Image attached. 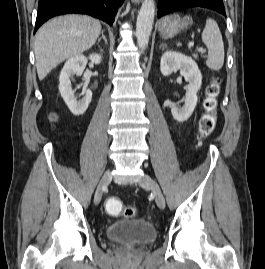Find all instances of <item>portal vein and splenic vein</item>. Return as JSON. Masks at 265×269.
<instances>
[{
  "label": "portal vein and splenic vein",
  "mask_w": 265,
  "mask_h": 269,
  "mask_svg": "<svg viewBox=\"0 0 265 269\" xmlns=\"http://www.w3.org/2000/svg\"><path fill=\"white\" fill-rule=\"evenodd\" d=\"M194 46V43L193 42H189L188 43V48H192ZM199 52H201V53H204L205 52V49H203V48H198L197 49Z\"/></svg>",
  "instance_id": "portal-vein-and-splenic-vein-1"
}]
</instances>
